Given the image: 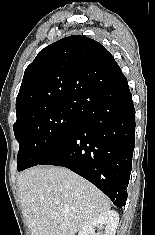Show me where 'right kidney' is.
<instances>
[{"mask_svg":"<svg viewBox=\"0 0 155 235\" xmlns=\"http://www.w3.org/2000/svg\"><path fill=\"white\" fill-rule=\"evenodd\" d=\"M118 223V213L116 211H108L94 217L84 224L78 235H115ZM96 227L104 231L96 233Z\"/></svg>","mask_w":155,"mask_h":235,"instance_id":"1","label":"right kidney"}]
</instances>
